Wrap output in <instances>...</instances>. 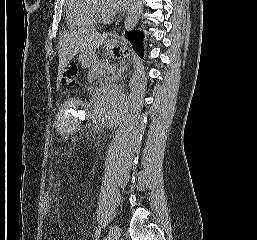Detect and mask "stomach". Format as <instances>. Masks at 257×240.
Wrapping results in <instances>:
<instances>
[{
	"label": "stomach",
	"instance_id": "stomach-1",
	"mask_svg": "<svg viewBox=\"0 0 257 240\" xmlns=\"http://www.w3.org/2000/svg\"><path fill=\"white\" fill-rule=\"evenodd\" d=\"M125 50L124 43L117 39H110L106 42V51L113 57H119ZM79 61L83 68L91 67L96 61L95 53H80Z\"/></svg>",
	"mask_w": 257,
	"mask_h": 240
}]
</instances>
